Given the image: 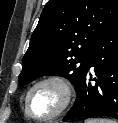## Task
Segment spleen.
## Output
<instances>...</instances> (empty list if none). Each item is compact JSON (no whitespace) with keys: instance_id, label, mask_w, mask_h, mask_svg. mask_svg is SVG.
I'll return each mask as SVG.
<instances>
[{"instance_id":"1","label":"spleen","mask_w":118,"mask_h":123,"mask_svg":"<svg viewBox=\"0 0 118 123\" xmlns=\"http://www.w3.org/2000/svg\"><path fill=\"white\" fill-rule=\"evenodd\" d=\"M85 123H117L114 120L108 118H87Z\"/></svg>"}]
</instances>
